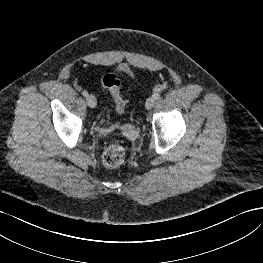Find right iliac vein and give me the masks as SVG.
I'll list each match as a JSON object with an SVG mask.
<instances>
[{
	"label": "right iliac vein",
	"mask_w": 263,
	"mask_h": 263,
	"mask_svg": "<svg viewBox=\"0 0 263 263\" xmlns=\"http://www.w3.org/2000/svg\"><path fill=\"white\" fill-rule=\"evenodd\" d=\"M86 101H87V105L90 107V108H94L97 104V100L95 98L94 95L90 94L86 97Z\"/></svg>",
	"instance_id": "obj_1"
}]
</instances>
